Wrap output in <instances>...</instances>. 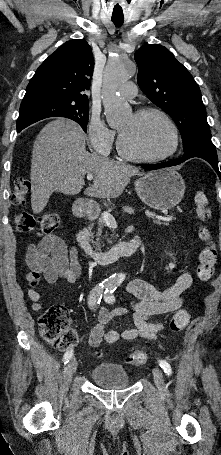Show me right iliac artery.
<instances>
[{"label":"right iliac artery","mask_w":221,"mask_h":455,"mask_svg":"<svg viewBox=\"0 0 221 455\" xmlns=\"http://www.w3.org/2000/svg\"><path fill=\"white\" fill-rule=\"evenodd\" d=\"M110 285L105 284V283H100L99 285H96L92 291L90 292L88 296V305L91 309L95 310L98 304H100V301L102 299V295L105 289H107ZM73 355V350H68L63 357L64 364L69 362V359Z\"/></svg>","instance_id":"82829eb1"}]
</instances>
